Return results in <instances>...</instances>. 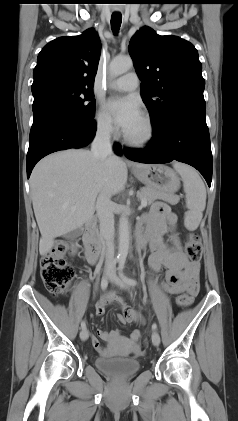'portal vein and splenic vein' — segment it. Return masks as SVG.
Here are the masks:
<instances>
[{
    "label": "portal vein and splenic vein",
    "mask_w": 238,
    "mask_h": 421,
    "mask_svg": "<svg viewBox=\"0 0 238 421\" xmlns=\"http://www.w3.org/2000/svg\"><path fill=\"white\" fill-rule=\"evenodd\" d=\"M147 206V203H146V201L145 200H143L142 202H141V205H140V207H139V209H142V208H144V207H146ZM75 209V208H74Z\"/></svg>",
    "instance_id": "18ae733b"
}]
</instances>
